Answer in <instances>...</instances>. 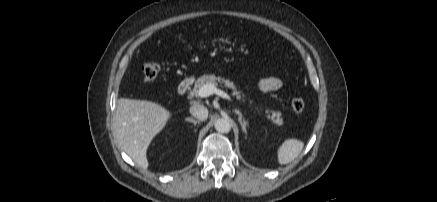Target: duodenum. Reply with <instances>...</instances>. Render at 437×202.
Returning <instances> with one entry per match:
<instances>
[{"label": "duodenum", "mask_w": 437, "mask_h": 202, "mask_svg": "<svg viewBox=\"0 0 437 202\" xmlns=\"http://www.w3.org/2000/svg\"><path fill=\"white\" fill-rule=\"evenodd\" d=\"M192 79L191 78H185L184 80H182L177 88V92L179 95H184L188 92V90L190 89L191 85H192Z\"/></svg>", "instance_id": "410a0bca"}]
</instances>
